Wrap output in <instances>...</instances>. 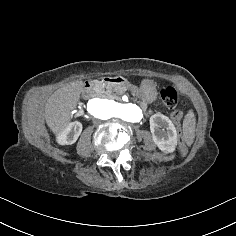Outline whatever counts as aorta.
<instances>
[{
	"label": "aorta",
	"mask_w": 236,
	"mask_h": 236,
	"mask_svg": "<svg viewBox=\"0 0 236 236\" xmlns=\"http://www.w3.org/2000/svg\"><path fill=\"white\" fill-rule=\"evenodd\" d=\"M87 111L92 117L102 120L119 118L126 122L139 123L143 118L142 110L135 104H121L102 98L90 99Z\"/></svg>",
	"instance_id": "762f6f07"
}]
</instances>
